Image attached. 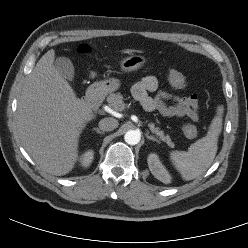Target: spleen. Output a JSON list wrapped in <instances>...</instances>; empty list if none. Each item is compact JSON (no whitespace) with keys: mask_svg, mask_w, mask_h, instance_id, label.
I'll return each instance as SVG.
<instances>
[{"mask_svg":"<svg viewBox=\"0 0 248 248\" xmlns=\"http://www.w3.org/2000/svg\"><path fill=\"white\" fill-rule=\"evenodd\" d=\"M223 106H219L207 135L193 143L188 151H172L170 159L184 180L202 175L211 165L217 152V142L222 130Z\"/></svg>","mask_w":248,"mask_h":248,"instance_id":"obj_1","label":"spleen"}]
</instances>
